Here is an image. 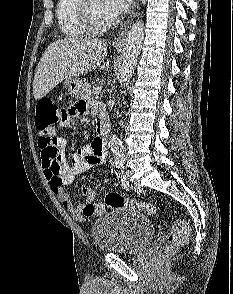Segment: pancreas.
<instances>
[{
    "instance_id": "1",
    "label": "pancreas",
    "mask_w": 233,
    "mask_h": 294,
    "mask_svg": "<svg viewBox=\"0 0 233 294\" xmlns=\"http://www.w3.org/2000/svg\"><path fill=\"white\" fill-rule=\"evenodd\" d=\"M91 95H92L91 87L89 83L85 81L81 87L80 97L81 99H88L89 97H91Z\"/></svg>"
}]
</instances>
